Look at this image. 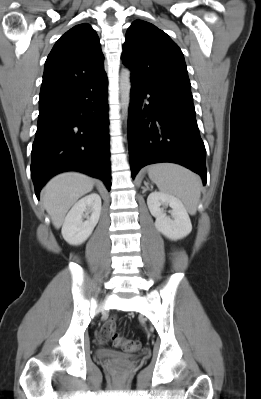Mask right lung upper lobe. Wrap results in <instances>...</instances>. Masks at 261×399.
<instances>
[{
  "label": "right lung upper lobe",
  "mask_w": 261,
  "mask_h": 399,
  "mask_svg": "<svg viewBox=\"0 0 261 399\" xmlns=\"http://www.w3.org/2000/svg\"><path fill=\"white\" fill-rule=\"evenodd\" d=\"M99 38L89 24H79L55 43L44 67L40 98L49 97L103 77Z\"/></svg>",
  "instance_id": "obj_1"
}]
</instances>
